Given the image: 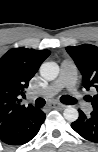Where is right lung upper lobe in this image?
Returning <instances> with one entry per match:
<instances>
[{
  "instance_id": "cb5924a9",
  "label": "right lung upper lobe",
  "mask_w": 98,
  "mask_h": 152,
  "mask_svg": "<svg viewBox=\"0 0 98 152\" xmlns=\"http://www.w3.org/2000/svg\"><path fill=\"white\" fill-rule=\"evenodd\" d=\"M49 50L14 48L0 58V133L10 128L24 114L34 109L21 104L30 79Z\"/></svg>"
}]
</instances>
